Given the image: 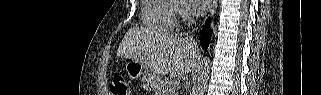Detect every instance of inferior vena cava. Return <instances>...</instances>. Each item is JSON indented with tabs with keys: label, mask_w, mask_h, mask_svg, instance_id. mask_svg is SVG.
I'll list each match as a JSON object with an SVG mask.
<instances>
[{
	"label": "inferior vena cava",
	"mask_w": 321,
	"mask_h": 95,
	"mask_svg": "<svg viewBox=\"0 0 321 95\" xmlns=\"http://www.w3.org/2000/svg\"><path fill=\"white\" fill-rule=\"evenodd\" d=\"M189 40L191 41V42H193L194 44H196V42H194V40H193V36H190L189 37ZM197 45V44H196Z\"/></svg>",
	"instance_id": "obj_1"
}]
</instances>
